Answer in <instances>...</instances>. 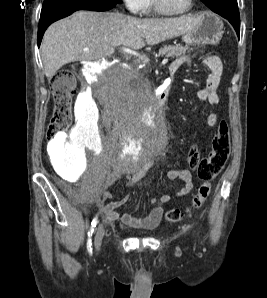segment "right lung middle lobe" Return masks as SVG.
<instances>
[{
	"instance_id": "obj_1",
	"label": "right lung middle lobe",
	"mask_w": 267,
	"mask_h": 298,
	"mask_svg": "<svg viewBox=\"0 0 267 298\" xmlns=\"http://www.w3.org/2000/svg\"><path fill=\"white\" fill-rule=\"evenodd\" d=\"M53 0H44L43 5H47L48 3L52 2ZM111 1H115L116 3H122V0H111Z\"/></svg>"
}]
</instances>
